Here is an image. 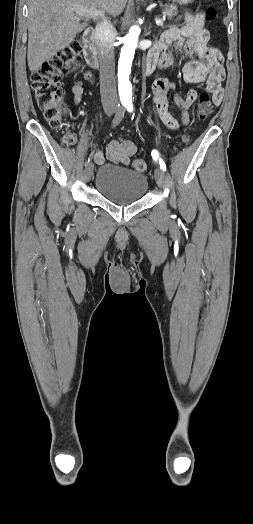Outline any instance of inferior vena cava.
<instances>
[{
	"mask_svg": "<svg viewBox=\"0 0 253 524\" xmlns=\"http://www.w3.org/2000/svg\"><path fill=\"white\" fill-rule=\"evenodd\" d=\"M99 47L100 91L104 106L116 107L117 92L114 62V28L108 20L101 21L95 29Z\"/></svg>",
	"mask_w": 253,
	"mask_h": 524,
	"instance_id": "602c4592",
	"label": "inferior vena cava"
}]
</instances>
